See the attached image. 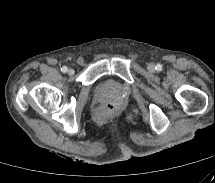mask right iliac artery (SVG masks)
<instances>
[{"label":"right iliac artery","mask_w":215,"mask_h":183,"mask_svg":"<svg viewBox=\"0 0 215 183\" xmlns=\"http://www.w3.org/2000/svg\"><path fill=\"white\" fill-rule=\"evenodd\" d=\"M61 71H62L63 73H66V72L68 71V68H67L66 66H64V67L61 68Z\"/></svg>","instance_id":"right-iliac-artery-1"}]
</instances>
